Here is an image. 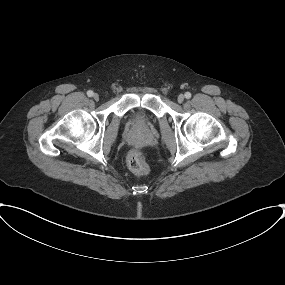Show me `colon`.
I'll return each mask as SVG.
<instances>
[{"mask_svg": "<svg viewBox=\"0 0 285 285\" xmlns=\"http://www.w3.org/2000/svg\"><path fill=\"white\" fill-rule=\"evenodd\" d=\"M127 164L129 169L137 175H146L149 171L146 161L137 151H133L129 154Z\"/></svg>", "mask_w": 285, "mask_h": 285, "instance_id": "obj_1", "label": "colon"}]
</instances>
